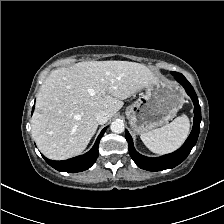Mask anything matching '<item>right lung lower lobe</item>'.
I'll list each match as a JSON object with an SVG mask.
<instances>
[{
  "mask_svg": "<svg viewBox=\"0 0 224 224\" xmlns=\"http://www.w3.org/2000/svg\"><path fill=\"white\" fill-rule=\"evenodd\" d=\"M106 128L107 127H105L101 131V133L98 136L92 149L84 155L77 156V157H74V158H71L68 160H64V161H52V160L47 159L44 156H43V158L50 166H52L53 168H55L58 171L76 173V172L87 170L95 163V161L98 157L99 142H100V139L102 138Z\"/></svg>",
  "mask_w": 224,
  "mask_h": 224,
  "instance_id": "98d812e1",
  "label": "right lung lower lobe"
}]
</instances>
